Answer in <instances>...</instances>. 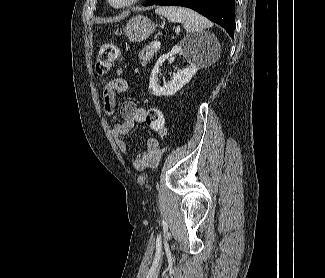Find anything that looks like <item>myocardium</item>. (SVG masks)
<instances>
[{
	"mask_svg": "<svg viewBox=\"0 0 325 278\" xmlns=\"http://www.w3.org/2000/svg\"><path fill=\"white\" fill-rule=\"evenodd\" d=\"M140 0H127L123 3L116 4L112 0H107L108 4L115 9H124L133 6L138 3Z\"/></svg>",
	"mask_w": 325,
	"mask_h": 278,
	"instance_id": "obj_1",
	"label": "myocardium"
}]
</instances>
